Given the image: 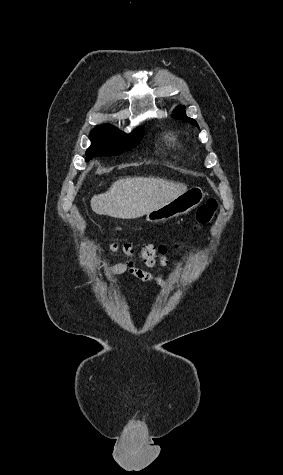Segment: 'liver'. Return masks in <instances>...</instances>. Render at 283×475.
<instances>
[{
    "label": "liver",
    "mask_w": 283,
    "mask_h": 475,
    "mask_svg": "<svg viewBox=\"0 0 283 475\" xmlns=\"http://www.w3.org/2000/svg\"><path fill=\"white\" fill-rule=\"evenodd\" d=\"M185 192V184L161 178H122L105 194L93 196L90 206L100 216L133 220L158 210Z\"/></svg>",
    "instance_id": "obj_1"
}]
</instances>
